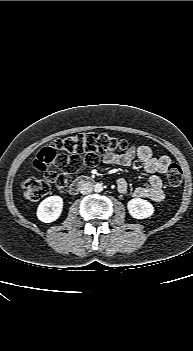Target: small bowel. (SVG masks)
Returning a JSON list of instances; mask_svg holds the SVG:
<instances>
[{"mask_svg":"<svg viewBox=\"0 0 193 351\" xmlns=\"http://www.w3.org/2000/svg\"><path fill=\"white\" fill-rule=\"evenodd\" d=\"M134 159L142 164L144 170L150 174L147 184L138 186L133 190V196L136 198H146L153 202H161L164 199L162 190V181L158 174L163 173L170 159L167 156H154L149 146L141 145L131 147L123 153H109L103 157V162L108 165L120 167L131 166ZM117 189L120 193L125 194L128 191V183L124 178L117 180Z\"/></svg>","mask_w":193,"mask_h":351,"instance_id":"1","label":"small bowel"}]
</instances>
